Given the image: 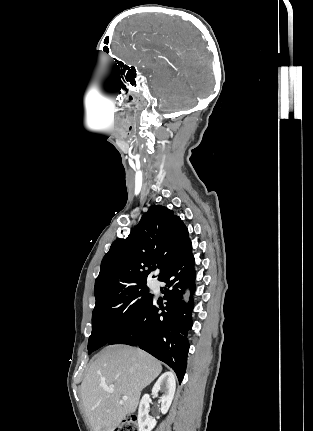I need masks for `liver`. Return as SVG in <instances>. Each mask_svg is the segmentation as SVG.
<instances>
[{
  "label": "liver",
  "mask_w": 313,
  "mask_h": 431,
  "mask_svg": "<svg viewBox=\"0 0 313 431\" xmlns=\"http://www.w3.org/2000/svg\"><path fill=\"white\" fill-rule=\"evenodd\" d=\"M161 371V363L139 348L112 345L98 353L80 386L92 430L113 431L118 427L135 412L141 391ZM104 386L113 388V393L106 392Z\"/></svg>",
  "instance_id": "obj_1"
}]
</instances>
